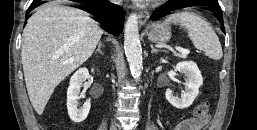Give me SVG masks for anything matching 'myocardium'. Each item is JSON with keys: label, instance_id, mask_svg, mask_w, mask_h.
Returning a JSON list of instances; mask_svg holds the SVG:
<instances>
[{"label": "myocardium", "instance_id": "f54148a6", "mask_svg": "<svg viewBox=\"0 0 257 130\" xmlns=\"http://www.w3.org/2000/svg\"><path fill=\"white\" fill-rule=\"evenodd\" d=\"M150 1L153 2V3H158V2H161L163 0H150Z\"/></svg>", "mask_w": 257, "mask_h": 130}]
</instances>
